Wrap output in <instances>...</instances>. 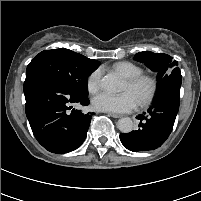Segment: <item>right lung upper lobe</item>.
I'll return each instance as SVG.
<instances>
[{
    "mask_svg": "<svg viewBox=\"0 0 201 201\" xmlns=\"http://www.w3.org/2000/svg\"><path fill=\"white\" fill-rule=\"evenodd\" d=\"M78 57L86 60V61H89V62H98L96 60H92V59H89V58H86L85 56L81 55V54H78V53H75Z\"/></svg>",
    "mask_w": 201,
    "mask_h": 201,
    "instance_id": "obj_1",
    "label": "right lung upper lobe"
}]
</instances>
